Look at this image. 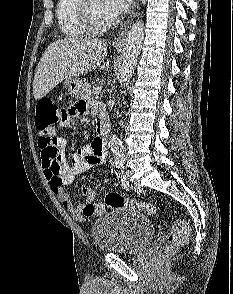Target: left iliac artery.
<instances>
[{
    "label": "left iliac artery",
    "mask_w": 233,
    "mask_h": 294,
    "mask_svg": "<svg viewBox=\"0 0 233 294\" xmlns=\"http://www.w3.org/2000/svg\"><path fill=\"white\" fill-rule=\"evenodd\" d=\"M122 169L124 168V166L122 165L121 167ZM122 174H123V170H122ZM121 178H126L124 175H121Z\"/></svg>",
    "instance_id": "1"
}]
</instances>
